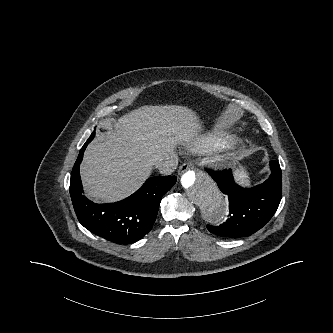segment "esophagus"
<instances>
[{"label":"esophagus","instance_id":"1","mask_svg":"<svg viewBox=\"0 0 333 333\" xmlns=\"http://www.w3.org/2000/svg\"><path fill=\"white\" fill-rule=\"evenodd\" d=\"M191 166H192V164L189 162L182 164L179 168V174L182 175L184 172L189 170L191 168Z\"/></svg>","mask_w":333,"mask_h":333}]
</instances>
